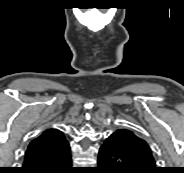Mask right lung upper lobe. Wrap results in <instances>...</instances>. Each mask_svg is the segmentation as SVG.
Segmentation results:
<instances>
[{
    "label": "right lung upper lobe",
    "instance_id": "obj_1",
    "mask_svg": "<svg viewBox=\"0 0 184 173\" xmlns=\"http://www.w3.org/2000/svg\"><path fill=\"white\" fill-rule=\"evenodd\" d=\"M69 147L66 138L58 129L45 130L28 146L25 161L56 155Z\"/></svg>",
    "mask_w": 184,
    "mask_h": 173
}]
</instances>
